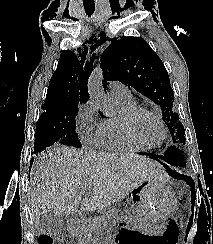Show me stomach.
I'll list each match as a JSON object with an SVG mask.
<instances>
[{
    "mask_svg": "<svg viewBox=\"0 0 213 244\" xmlns=\"http://www.w3.org/2000/svg\"><path fill=\"white\" fill-rule=\"evenodd\" d=\"M131 192L139 201L137 218L141 229L167 220L176 209L175 192L162 178H152Z\"/></svg>",
    "mask_w": 213,
    "mask_h": 244,
    "instance_id": "0dacf381",
    "label": "stomach"
}]
</instances>
